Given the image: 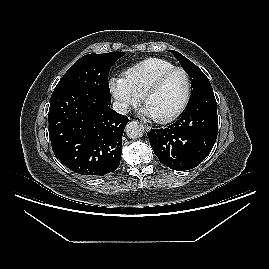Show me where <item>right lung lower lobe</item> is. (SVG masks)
Wrapping results in <instances>:
<instances>
[{
	"mask_svg": "<svg viewBox=\"0 0 269 269\" xmlns=\"http://www.w3.org/2000/svg\"><path fill=\"white\" fill-rule=\"evenodd\" d=\"M110 104L109 94L94 89L52 93L48 113L52 150L72 171L94 177L118 168L129 119L110 109Z\"/></svg>",
	"mask_w": 269,
	"mask_h": 269,
	"instance_id": "1",
	"label": "right lung lower lobe"
}]
</instances>
